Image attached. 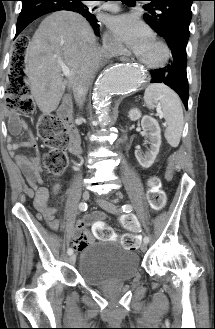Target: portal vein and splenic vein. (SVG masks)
Wrapping results in <instances>:
<instances>
[{
    "label": "portal vein and splenic vein",
    "mask_w": 215,
    "mask_h": 329,
    "mask_svg": "<svg viewBox=\"0 0 215 329\" xmlns=\"http://www.w3.org/2000/svg\"><path fill=\"white\" fill-rule=\"evenodd\" d=\"M62 73L66 77H70V75H71L70 69L64 65L62 66ZM159 117L162 118V115L160 114Z\"/></svg>",
    "instance_id": "portal-vein-and-splenic-vein-1"
}]
</instances>
